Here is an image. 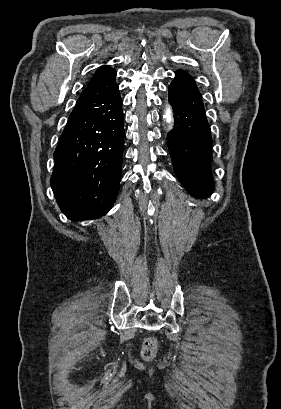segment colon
<instances>
[{
    "label": "colon",
    "instance_id": "obj_1",
    "mask_svg": "<svg viewBox=\"0 0 281 409\" xmlns=\"http://www.w3.org/2000/svg\"><path fill=\"white\" fill-rule=\"evenodd\" d=\"M155 342L154 340L150 339L148 340L144 350H143V356L147 359H150L154 356L155 354Z\"/></svg>",
    "mask_w": 281,
    "mask_h": 409
}]
</instances>
